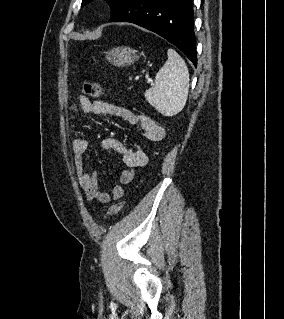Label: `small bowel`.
Returning <instances> with one entry per match:
<instances>
[{
	"label": "small bowel",
	"instance_id": "1",
	"mask_svg": "<svg viewBox=\"0 0 284 319\" xmlns=\"http://www.w3.org/2000/svg\"><path fill=\"white\" fill-rule=\"evenodd\" d=\"M78 107L85 114L111 115L131 124H138L143 131L144 137L150 142H159L165 137V129L151 117L133 112L113 103L99 100L91 101L87 97L82 96L79 98L78 105L72 106L71 110L76 111ZM71 143L76 174L88 200H98L101 203H108L111 200L120 199L124 194L122 185L130 184L135 177L136 169L145 166L148 162V156L144 149L130 148L113 138L103 140L102 148L106 151L117 152L124 164V169L119 178L120 184L115 185L107 192L100 187L98 172L96 170L87 171L84 167L83 155L88 150V140L75 133L71 137Z\"/></svg>",
	"mask_w": 284,
	"mask_h": 319
}]
</instances>
